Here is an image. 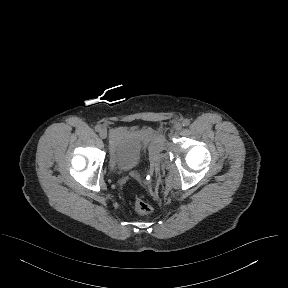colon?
<instances>
[{"label": "colon", "instance_id": "5ec220e1", "mask_svg": "<svg viewBox=\"0 0 288 288\" xmlns=\"http://www.w3.org/2000/svg\"><path fill=\"white\" fill-rule=\"evenodd\" d=\"M134 209L136 213L145 215L152 211V206L144 199L136 197L134 200Z\"/></svg>", "mask_w": 288, "mask_h": 288}]
</instances>
